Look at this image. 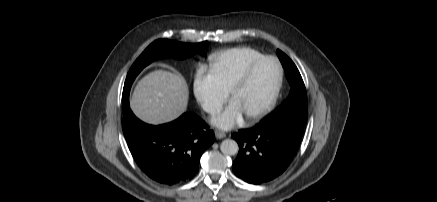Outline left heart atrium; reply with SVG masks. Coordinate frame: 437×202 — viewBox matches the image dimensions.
Listing matches in <instances>:
<instances>
[{
	"label": "left heart atrium",
	"mask_w": 437,
	"mask_h": 202,
	"mask_svg": "<svg viewBox=\"0 0 437 202\" xmlns=\"http://www.w3.org/2000/svg\"><path fill=\"white\" fill-rule=\"evenodd\" d=\"M244 119V113L240 105L231 100V102L218 114L212 118V123L224 130H228L241 123Z\"/></svg>",
	"instance_id": "left-heart-atrium-1"
}]
</instances>
